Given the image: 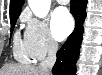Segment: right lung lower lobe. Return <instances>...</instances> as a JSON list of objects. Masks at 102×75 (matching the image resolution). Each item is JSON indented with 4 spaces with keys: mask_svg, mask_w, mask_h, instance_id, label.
<instances>
[{
    "mask_svg": "<svg viewBox=\"0 0 102 75\" xmlns=\"http://www.w3.org/2000/svg\"><path fill=\"white\" fill-rule=\"evenodd\" d=\"M87 0H71L70 12L74 16L76 26L73 33L57 52V60L52 69L54 75H75L76 61L82 41L83 23L86 17Z\"/></svg>",
    "mask_w": 102,
    "mask_h": 75,
    "instance_id": "obj_1",
    "label": "right lung lower lobe"
}]
</instances>
